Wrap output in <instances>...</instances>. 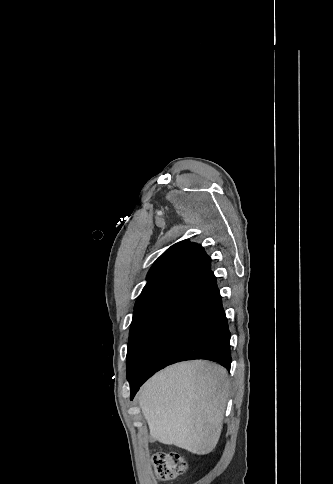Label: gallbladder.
<instances>
[{"label": "gallbladder", "instance_id": "bac80fb5", "mask_svg": "<svg viewBox=\"0 0 333 484\" xmlns=\"http://www.w3.org/2000/svg\"><path fill=\"white\" fill-rule=\"evenodd\" d=\"M150 441L152 442L153 441V438H150Z\"/></svg>", "mask_w": 333, "mask_h": 484}]
</instances>
